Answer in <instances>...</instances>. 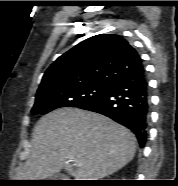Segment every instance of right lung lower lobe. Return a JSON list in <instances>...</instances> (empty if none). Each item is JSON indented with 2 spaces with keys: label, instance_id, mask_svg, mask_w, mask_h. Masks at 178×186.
I'll use <instances>...</instances> for the list:
<instances>
[{
  "label": "right lung lower lobe",
  "instance_id": "right-lung-lower-lobe-1",
  "mask_svg": "<svg viewBox=\"0 0 178 186\" xmlns=\"http://www.w3.org/2000/svg\"><path fill=\"white\" fill-rule=\"evenodd\" d=\"M149 89L144 66L113 80L98 97L78 108L103 114L129 128L141 147L147 138Z\"/></svg>",
  "mask_w": 178,
  "mask_h": 186
}]
</instances>
